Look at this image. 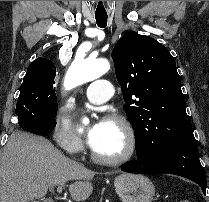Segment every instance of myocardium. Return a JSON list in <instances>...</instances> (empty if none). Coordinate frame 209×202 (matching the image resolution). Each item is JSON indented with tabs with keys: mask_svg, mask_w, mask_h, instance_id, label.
I'll use <instances>...</instances> for the list:
<instances>
[{
	"mask_svg": "<svg viewBox=\"0 0 209 202\" xmlns=\"http://www.w3.org/2000/svg\"><path fill=\"white\" fill-rule=\"evenodd\" d=\"M106 121L118 124L124 131L127 141L125 150L118 156H103L96 152L92 147V159L97 163L105 165H119L131 160L137 151V138L132 125L124 116L121 115H108Z\"/></svg>",
	"mask_w": 209,
	"mask_h": 202,
	"instance_id": "f54148a6",
	"label": "myocardium"
}]
</instances>
